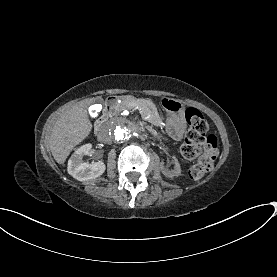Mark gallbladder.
I'll use <instances>...</instances> for the list:
<instances>
[{
    "label": "gallbladder",
    "mask_w": 277,
    "mask_h": 277,
    "mask_svg": "<svg viewBox=\"0 0 277 277\" xmlns=\"http://www.w3.org/2000/svg\"><path fill=\"white\" fill-rule=\"evenodd\" d=\"M96 102H102V99H96Z\"/></svg>",
    "instance_id": "bac80fb5"
}]
</instances>
